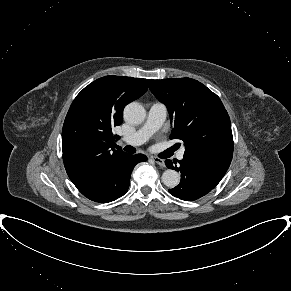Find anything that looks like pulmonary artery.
I'll use <instances>...</instances> for the list:
<instances>
[{"instance_id": "pulmonary-artery-1", "label": "pulmonary artery", "mask_w": 291, "mask_h": 291, "mask_svg": "<svg viewBox=\"0 0 291 291\" xmlns=\"http://www.w3.org/2000/svg\"><path fill=\"white\" fill-rule=\"evenodd\" d=\"M167 116V107L161 102H154L151 104L147 119L144 125L135 133L121 139L124 144L138 146L146 142L151 135H153L163 125ZM185 150L181 149L177 153L178 159L184 158Z\"/></svg>"}]
</instances>
